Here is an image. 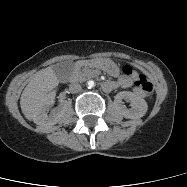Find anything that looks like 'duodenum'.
Instances as JSON below:
<instances>
[{"label": "duodenum", "mask_w": 187, "mask_h": 187, "mask_svg": "<svg viewBox=\"0 0 187 187\" xmlns=\"http://www.w3.org/2000/svg\"><path fill=\"white\" fill-rule=\"evenodd\" d=\"M86 62H88V61H87V60H80V61L77 62L76 66H81V65H83V64L86 63ZM103 88H104L105 90L110 89V84H109V82H104V83H103Z\"/></svg>", "instance_id": "obj_1"}]
</instances>
